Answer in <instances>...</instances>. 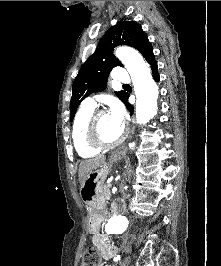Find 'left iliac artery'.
Returning <instances> with one entry per match:
<instances>
[{
  "mask_svg": "<svg viewBox=\"0 0 221 266\" xmlns=\"http://www.w3.org/2000/svg\"><path fill=\"white\" fill-rule=\"evenodd\" d=\"M120 260V255H117L115 258H114V261H119Z\"/></svg>",
  "mask_w": 221,
  "mask_h": 266,
  "instance_id": "left-iliac-artery-1",
  "label": "left iliac artery"
}]
</instances>
